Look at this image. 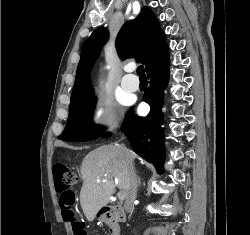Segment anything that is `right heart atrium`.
Returning <instances> with one entry per match:
<instances>
[{
    "label": "right heart atrium",
    "instance_id": "1",
    "mask_svg": "<svg viewBox=\"0 0 250 235\" xmlns=\"http://www.w3.org/2000/svg\"><path fill=\"white\" fill-rule=\"evenodd\" d=\"M92 124L100 129L114 131L119 128L120 122L113 105L105 98H100L92 113Z\"/></svg>",
    "mask_w": 250,
    "mask_h": 235
}]
</instances>
